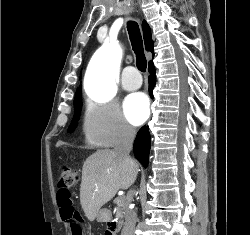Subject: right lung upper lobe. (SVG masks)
<instances>
[{
  "instance_id": "cb5924a9",
  "label": "right lung upper lobe",
  "mask_w": 250,
  "mask_h": 235,
  "mask_svg": "<svg viewBox=\"0 0 250 235\" xmlns=\"http://www.w3.org/2000/svg\"><path fill=\"white\" fill-rule=\"evenodd\" d=\"M142 28H143V33H144L145 48L148 51H153V41H152V37H151V31H150V27L146 23V21H143ZM78 94H81L80 88L76 92V95H78Z\"/></svg>"
}]
</instances>
